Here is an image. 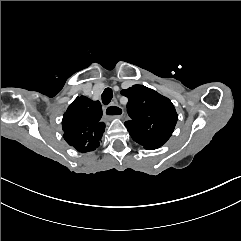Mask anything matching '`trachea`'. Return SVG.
Segmentation results:
<instances>
[{
	"mask_svg": "<svg viewBox=\"0 0 241 241\" xmlns=\"http://www.w3.org/2000/svg\"><path fill=\"white\" fill-rule=\"evenodd\" d=\"M113 98V92L111 88H106L102 93V102L104 105H107L111 102Z\"/></svg>",
	"mask_w": 241,
	"mask_h": 241,
	"instance_id": "3493384b",
	"label": "trachea"
}]
</instances>
